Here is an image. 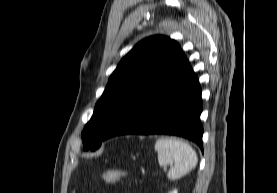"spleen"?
<instances>
[{
  "label": "spleen",
  "mask_w": 277,
  "mask_h": 193,
  "mask_svg": "<svg viewBox=\"0 0 277 193\" xmlns=\"http://www.w3.org/2000/svg\"><path fill=\"white\" fill-rule=\"evenodd\" d=\"M160 166L174 164L167 173L170 180H177L193 168L198 158L195 150L186 142L176 138H160L155 143Z\"/></svg>",
  "instance_id": "spleen-1"
}]
</instances>
